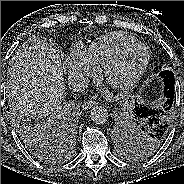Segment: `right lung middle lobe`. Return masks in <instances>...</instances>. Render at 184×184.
I'll return each mask as SVG.
<instances>
[{
	"label": "right lung middle lobe",
	"mask_w": 184,
	"mask_h": 184,
	"mask_svg": "<svg viewBox=\"0 0 184 184\" xmlns=\"http://www.w3.org/2000/svg\"><path fill=\"white\" fill-rule=\"evenodd\" d=\"M22 111L20 110V113H16V123L18 124V129L20 131V134L22 138L28 143L30 149L35 152L37 156H40L41 159L47 160L46 156H41L42 153H40L37 142L39 143V137L37 135V131H35L30 125L29 121H27V117L25 115H20Z\"/></svg>",
	"instance_id": "dd1d6c3e"
}]
</instances>
